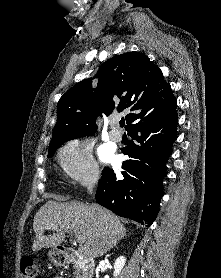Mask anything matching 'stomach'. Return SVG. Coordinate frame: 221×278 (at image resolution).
I'll list each match as a JSON object with an SVG mask.
<instances>
[{
	"label": "stomach",
	"mask_w": 221,
	"mask_h": 278,
	"mask_svg": "<svg viewBox=\"0 0 221 278\" xmlns=\"http://www.w3.org/2000/svg\"><path fill=\"white\" fill-rule=\"evenodd\" d=\"M49 257L54 264H60L61 263L60 256L55 251H50L49 252Z\"/></svg>",
	"instance_id": "1"
}]
</instances>
